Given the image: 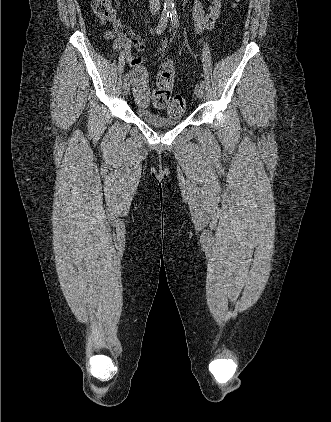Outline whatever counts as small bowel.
Masks as SVG:
<instances>
[{
  "instance_id": "c3829d8e",
  "label": "small bowel",
  "mask_w": 331,
  "mask_h": 422,
  "mask_svg": "<svg viewBox=\"0 0 331 422\" xmlns=\"http://www.w3.org/2000/svg\"><path fill=\"white\" fill-rule=\"evenodd\" d=\"M209 6L203 5V0H194L193 4V19L195 22V30L201 32L204 29H211L214 27L216 20L220 15L222 8V0H209ZM154 34L156 33L155 31ZM106 35L109 38H116L114 43V51L117 52L119 49H124L126 61L135 66H141L145 58L142 56H133L130 54L131 46L135 47L137 50H144L145 44L129 29L124 28L119 21L115 23V29L113 31H108ZM169 45V40L166 37L159 39L158 46L154 51L155 56H161L165 53ZM131 84L133 86V92L135 95L136 103L141 106H145L149 103V91H148V80L141 81L137 78L131 76ZM145 91L148 99L145 103L140 101L139 94L140 91Z\"/></svg>"
}]
</instances>
